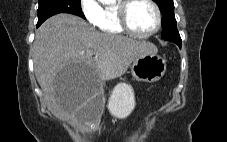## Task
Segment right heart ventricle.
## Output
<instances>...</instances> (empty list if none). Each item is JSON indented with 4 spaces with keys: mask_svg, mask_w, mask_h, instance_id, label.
Wrapping results in <instances>:
<instances>
[{
    "mask_svg": "<svg viewBox=\"0 0 227 142\" xmlns=\"http://www.w3.org/2000/svg\"><path fill=\"white\" fill-rule=\"evenodd\" d=\"M117 6L118 4L114 6H105L101 9V15L97 26L106 34L122 35L125 33L118 21Z\"/></svg>",
    "mask_w": 227,
    "mask_h": 142,
    "instance_id": "e07e8e85",
    "label": "right heart ventricle"
}]
</instances>
